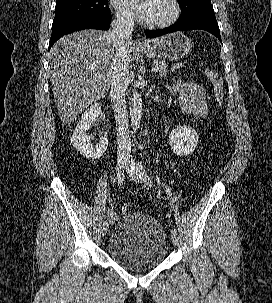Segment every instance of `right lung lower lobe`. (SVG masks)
I'll return each instance as SVG.
<instances>
[{"label": "right lung lower lobe", "instance_id": "right-lung-lower-lobe-1", "mask_svg": "<svg viewBox=\"0 0 272 303\" xmlns=\"http://www.w3.org/2000/svg\"><path fill=\"white\" fill-rule=\"evenodd\" d=\"M111 18L100 17H79L57 25H52V35L49 42V49L62 36L83 29L107 30L110 27Z\"/></svg>", "mask_w": 272, "mask_h": 303}]
</instances>
